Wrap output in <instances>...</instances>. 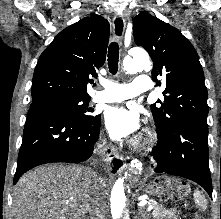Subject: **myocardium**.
<instances>
[{
    "label": "myocardium",
    "instance_id": "1",
    "mask_svg": "<svg viewBox=\"0 0 221 219\" xmlns=\"http://www.w3.org/2000/svg\"><path fill=\"white\" fill-rule=\"evenodd\" d=\"M154 142V136L151 133H146L141 135L140 137H138L135 141H134V146L137 149H147L149 148L152 143Z\"/></svg>",
    "mask_w": 221,
    "mask_h": 219
}]
</instances>
